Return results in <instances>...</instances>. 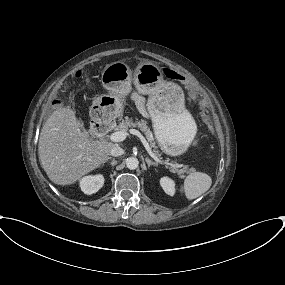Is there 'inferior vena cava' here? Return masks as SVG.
Listing matches in <instances>:
<instances>
[{
  "instance_id": "inferior-vena-cava-1",
  "label": "inferior vena cava",
  "mask_w": 285,
  "mask_h": 285,
  "mask_svg": "<svg viewBox=\"0 0 285 285\" xmlns=\"http://www.w3.org/2000/svg\"><path fill=\"white\" fill-rule=\"evenodd\" d=\"M123 154H124V150L119 146H114L110 151V155L113 157H118Z\"/></svg>"
}]
</instances>
